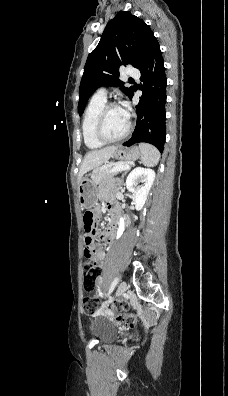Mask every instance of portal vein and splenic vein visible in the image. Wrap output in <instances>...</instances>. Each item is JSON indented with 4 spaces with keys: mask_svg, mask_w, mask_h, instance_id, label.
<instances>
[{
    "mask_svg": "<svg viewBox=\"0 0 228 396\" xmlns=\"http://www.w3.org/2000/svg\"><path fill=\"white\" fill-rule=\"evenodd\" d=\"M126 169H129V166H128V165L120 164V165L114 166V167L111 169L110 172H118V171H122V170H126Z\"/></svg>",
    "mask_w": 228,
    "mask_h": 396,
    "instance_id": "portal-vein-and-splenic-vein-1",
    "label": "portal vein and splenic vein"
}]
</instances>
